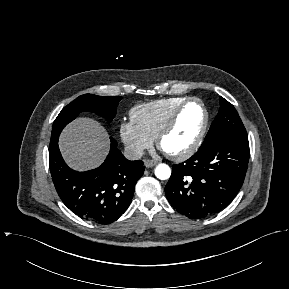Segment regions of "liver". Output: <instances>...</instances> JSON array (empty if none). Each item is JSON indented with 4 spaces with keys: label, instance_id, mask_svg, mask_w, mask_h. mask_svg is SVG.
<instances>
[{
    "label": "liver",
    "instance_id": "obj_1",
    "mask_svg": "<svg viewBox=\"0 0 289 289\" xmlns=\"http://www.w3.org/2000/svg\"><path fill=\"white\" fill-rule=\"evenodd\" d=\"M59 147L72 168L89 170L99 166L108 154V133L99 122L80 117L63 130Z\"/></svg>",
    "mask_w": 289,
    "mask_h": 289
}]
</instances>
